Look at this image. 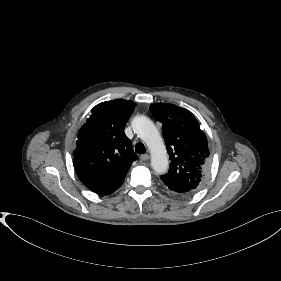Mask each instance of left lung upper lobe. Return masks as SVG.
I'll return each mask as SVG.
<instances>
[{"label": "left lung upper lobe", "instance_id": "left-lung-upper-lobe-1", "mask_svg": "<svg viewBox=\"0 0 281 281\" xmlns=\"http://www.w3.org/2000/svg\"><path fill=\"white\" fill-rule=\"evenodd\" d=\"M150 111L162 123V133L171 160L169 171L161 176V180L175 194H195L210 170L207 139L198 121L190 111L172 104H152Z\"/></svg>", "mask_w": 281, "mask_h": 281}]
</instances>
